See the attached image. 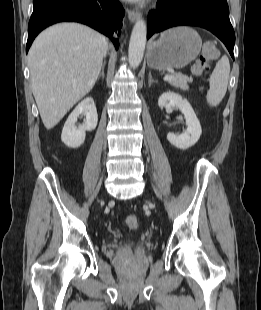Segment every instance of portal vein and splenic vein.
I'll use <instances>...</instances> for the list:
<instances>
[{
	"instance_id": "1",
	"label": "portal vein and splenic vein",
	"mask_w": 261,
	"mask_h": 310,
	"mask_svg": "<svg viewBox=\"0 0 261 310\" xmlns=\"http://www.w3.org/2000/svg\"><path fill=\"white\" fill-rule=\"evenodd\" d=\"M173 75H165L164 80H170L173 79Z\"/></svg>"
}]
</instances>
